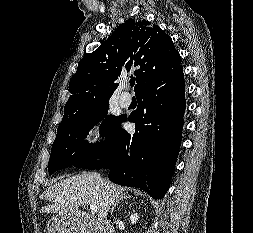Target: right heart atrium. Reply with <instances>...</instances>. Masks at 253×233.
Masks as SVG:
<instances>
[{
	"instance_id": "1",
	"label": "right heart atrium",
	"mask_w": 253,
	"mask_h": 233,
	"mask_svg": "<svg viewBox=\"0 0 253 233\" xmlns=\"http://www.w3.org/2000/svg\"><path fill=\"white\" fill-rule=\"evenodd\" d=\"M96 130L94 128H88L83 135V141L85 144H89L95 138Z\"/></svg>"
}]
</instances>
